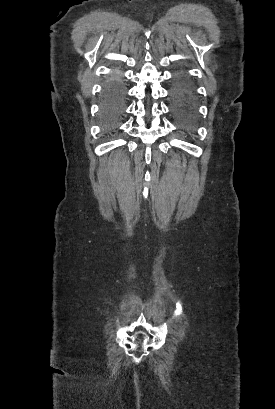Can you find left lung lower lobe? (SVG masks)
<instances>
[{"instance_id":"0a47b994","label":"left lung lower lobe","mask_w":275,"mask_h":409,"mask_svg":"<svg viewBox=\"0 0 275 409\" xmlns=\"http://www.w3.org/2000/svg\"><path fill=\"white\" fill-rule=\"evenodd\" d=\"M171 113L178 125L187 128L194 120L193 90L187 78L177 75L170 89Z\"/></svg>"}]
</instances>
